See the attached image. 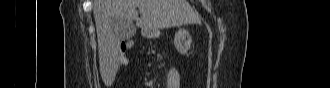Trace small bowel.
Instances as JSON below:
<instances>
[{
  "label": "small bowel",
  "instance_id": "small-bowel-1",
  "mask_svg": "<svg viewBox=\"0 0 330 88\" xmlns=\"http://www.w3.org/2000/svg\"><path fill=\"white\" fill-rule=\"evenodd\" d=\"M180 81H181V76L179 71L175 68H172L168 71L166 76V88H179Z\"/></svg>",
  "mask_w": 330,
  "mask_h": 88
}]
</instances>
